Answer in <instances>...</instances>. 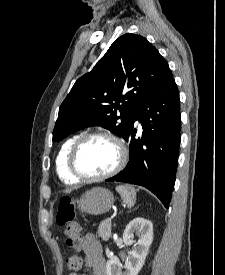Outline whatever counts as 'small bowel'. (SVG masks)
Here are the masks:
<instances>
[{
    "mask_svg": "<svg viewBox=\"0 0 225 275\" xmlns=\"http://www.w3.org/2000/svg\"><path fill=\"white\" fill-rule=\"evenodd\" d=\"M85 254V263L90 270V275H106L105 258L99 240L93 234H86L83 237L81 246ZM68 275H88L71 272Z\"/></svg>",
    "mask_w": 225,
    "mask_h": 275,
    "instance_id": "small-bowel-1",
    "label": "small bowel"
}]
</instances>
